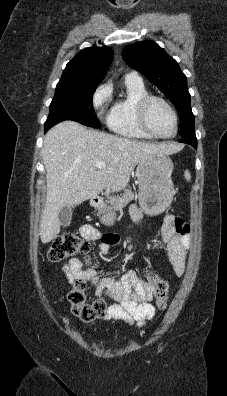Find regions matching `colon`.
<instances>
[{"mask_svg":"<svg viewBox=\"0 0 227 396\" xmlns=\"http://www.w3.org/2000/svg\"><path fill=\"white\" fill-rule=\"evenodd\" d=\"M90 244L74 233L64 234L57 237L48 250V258L53 262H59L74 255H82L89 258ZM147 281L154 287V297L159 310L166 307L169 284L156 273H147ZM87 282L77 279L73 282L72 290L68 295L72 306L73 314L84 322H91L97 318L104 317L107 313L108 305L104 297L97 298L88 303L86 299Z\"/></svg>","mask_w":227,"mask_h":396,"instance_id":"5ec220e1","label":"colon"}]
</instances>
